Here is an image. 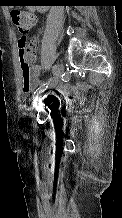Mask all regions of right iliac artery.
Returning a JSON list of instances; mask_svg holds the SVG:
<instances>
[{"label":"right iliac artery","instance_id":"82829eb1","mask_svg":"<svg viewBox=\"0 0 122 218\" xmlns=\"http://www.w3.org/2000/svg\"><path fill=\"white\" fill-rule=\"evenodd\" d=\"M52 72H53V74L55 73V67L52 68ZM47 83L48 82H45L39 88H37L36 91L33 94V97H35L38 93H40L42 91L43 87H45L47 85Z\"/></svg>","mask_w":122,"mask_h":218}]
</instances>
